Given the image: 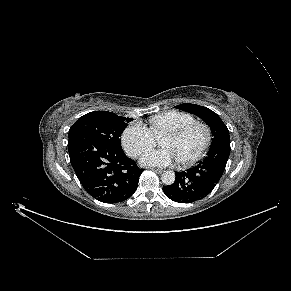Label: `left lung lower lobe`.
I'll return each mask as SVG.
<instances>
[{"instance_id": "obj_1", "label": "left lung lower lobe", "mask_w": 291, "mask_h": 291, "mask_svg": "<svg viewBox=\"0 0 291 291\" xmlns=\"http://www.w3.org/2000/svg\"><path fill=\"white\" fill-rule=\"evenodd\" d=\"M229 154L230 144L214 147L194 168L176 172L174 183L163 187L164 193L179 203H192L205 198L223 175Z\"/></svg>"}]
</instances>
